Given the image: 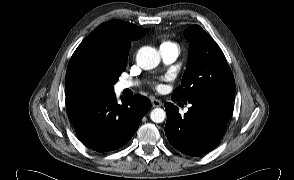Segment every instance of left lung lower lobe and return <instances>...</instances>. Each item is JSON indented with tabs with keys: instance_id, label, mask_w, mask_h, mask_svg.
<instances>
[{
	"instance_id": "0a47b994",
	"label": "left lung lower lobe",
	"mask_w": 294,
	"mask_h": 180,
	"mask_svg": "<svg viewBox=\"0 0 294 180\" xmlns=\"http://www.w3.org/2000/svg\"><path fill=\"white\" fill-rule=\"evenodd\" d=\"M188 103L191 107L184 116L172 103L164 104L167 113L164 130L174 148L190 156H201L212 151L221 141L231 118L233 103L207 99Z\"/></svg>"
}]
</instances>
